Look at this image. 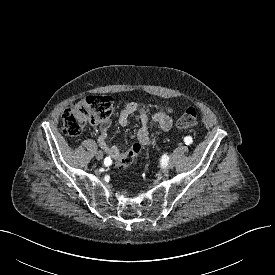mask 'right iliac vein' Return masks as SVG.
Returning <instances> with one entry per match:
<instances>
[{"label":"right iliac vein","mask_w":275,"mask_h":275,"mask_svg":"<svg viewBox=\"0 0 275 275\" xmlns=\"http://www.w3.org/2000/svg\"><path fill=\"white\" fill-rule=\"evenodd\" d=\"M95 156H96V158L98 160H102L103 159V153L101 151H97Z\"/></svg>","instance_id":"right-iliac-vein-1"}]
</instances>
